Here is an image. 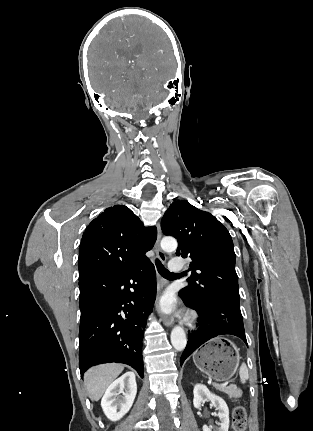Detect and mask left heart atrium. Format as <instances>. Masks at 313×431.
<instances>
[{"label":"left heart atrium","mask_w":313,"mask_h":431,"mask_svg":"<svg viewBox=\"0 0 313 431\" xmlns=\"http://www.w3.org/2000/svg\"><path fill=\"white\" fill-rule=\"evenodd\" d=\"M161 308L164 312H172L174 310L173 299L170 296H166L161 301Z\"/></svg>","instance_id":"1"}]
</instances>
